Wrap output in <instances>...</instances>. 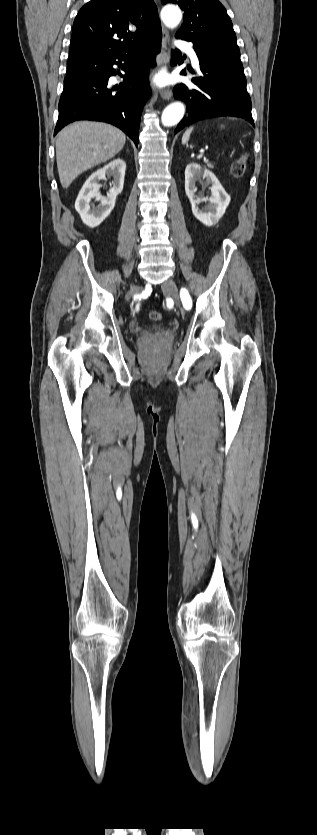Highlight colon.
I'll list each match as a JSON object with an SVG mask.
<instances>
[{"mask_svg": "<svg viewBox=\"0 0 317 835\" xmlns=\"http://www.w3.org/2000/svg\"><path fill=\"white\" fill-rule=\"evenodd\" d=\"M247 159V155L243 154L233 162V164L231 165V174L234 178L239 179L245 175L247 170ZM149 318L152 321H160L162 318V314L158 311L153 310L149 313Z\"/></svg>", "mask_w": 317, "mask_h": 835, "instance_id": "5ec220e1", "label": "colon"}]
</instances>
